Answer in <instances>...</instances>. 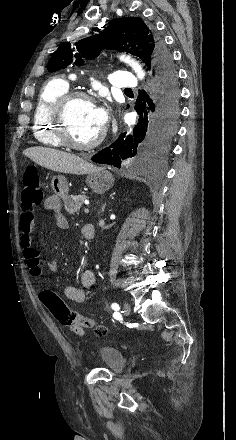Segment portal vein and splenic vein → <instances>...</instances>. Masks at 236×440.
Listing matches in <instances>:
<instances>
[{
	"instance_id": "1",
	"label": "portal vein and splenic vein",
	"mask_w": 236,
	"mask_h": 440,
	"mask_svg": "<svg viewBox=\"0 0 236 440\" xmlns=\"http://www.w3.org/2000/svg\"><path fill=\"white\" fill-rule=\"evenodd\" d=\"M84 212H85V213H89V208L86 207V208L84 209Z\"/></svg>"
}]
</instances>
